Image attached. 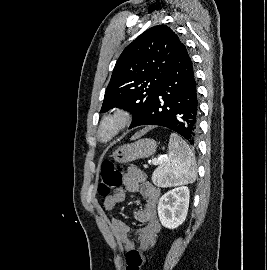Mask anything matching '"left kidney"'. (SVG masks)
I'll use <instances>...</instances> for the list:
<instances>
[{"label": "left kidney", "instance_id": "left-kidney-1", "mask_svg": "<svg viewBox=\"0 0 267 270\" xmlns=\"http://www.w3.org/2000/svg\"><path fill=\"white\" fill-rule=\"evenodd\" d=\"M189 189L186 186L176 187L165 193L158 203V216L161 224L175 229L186 219L189 207Z\"/></svg>", "mask_w": 267, "mask_h": 270}]
</instances>
